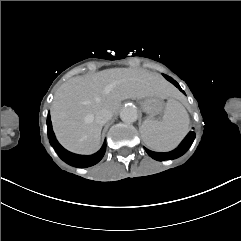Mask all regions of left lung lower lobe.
<instances>
[{
	"instance_id": "obj_1",
	"label": "left lung lower lobe",
	"mask_w": 241,
	"mask_h": 241,
	"mask_svg": "<svg viewBox=\"0 0 241 241\" xmlns=\"http://www.w3.org/2000/svg\"><path fill=\"white\" fill-rule=\"evenodd\" d=\"M168 81H170L171 83H173L177 88H179V90L182 91V89L180 88V86L178 85V83L171 77L167 76V75H163ZM183 92V91H182ZM195 138V133L194 132H190L187 137L183 140V142L179 145L178 148H176L175 150L171 151V152H154L151 151L149 149H146L147 154L152 157L155 160L158 161H163V160H168V159H174L177 158L181 155H183L190 147V145L192 144L193 140Z\"/></svg>"
}]
</instances>
